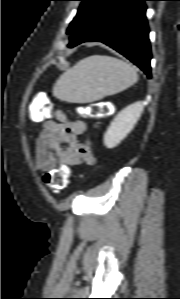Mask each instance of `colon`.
<instances>
[{
	"label": "colon",
	"instance_id": "colon-1",
	"mask_svg": "<svg viewBox=\"0 0 180 299\" xmlns=\"http://www.w3.org/2000/svg\"><path fill=\"white\" fill-rule=\"evenodd\" d=\"M102 113V106L93 105L90 108V114L97 116ZM40 118H45V115L41 114ZM70 180V171L67 168L55 169L48 172L44 176L45 184L53 191H60L64 189Z\"/></svg>",
	"mask_w": 180,
	"mask_h": 299
}]
</instances>
